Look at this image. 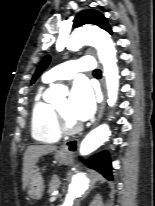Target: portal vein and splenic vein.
<instances>
[{
    "instance_id": "1",
    "label": "portal vein and splenic vein",
    "mask_w": 155,
    "mask_h": 206,
    "mask_svg": "<svg viewBox=\"0 0 155 206\" xmlns=\"http://www.w3.org/2000/svg\"><path fill=\"white\" fill-rule=\"evenodd\" d=\"M56 198H57L56 195H53V196L50 198V201L53 202V201L56 200Z\"/></svg>"
}]
</instances>
